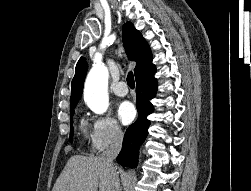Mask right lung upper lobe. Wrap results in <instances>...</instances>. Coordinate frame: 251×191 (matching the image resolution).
<instances>
[{"label":"right lung upper lobe","instance_id":"cb5924a9","mask_svg":"<svg viewBox=\"0 0 251 191\" xmlns=\"http://www.w3.org/2000/svg\"><path fill=\"white\" fill-rule=\"evenodd\" d=\"M122 39L129 60L136 62L134 69L136 83L152 78L156 72V67L152 64V53L147 42L132 23L127 22L123 26ZM87 67L85 58L81 57L77 62L71 83L70 106L77 105L82 96Z\"/></svg>","mask_w":251,"mask_h":191}]
</instances>
